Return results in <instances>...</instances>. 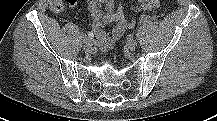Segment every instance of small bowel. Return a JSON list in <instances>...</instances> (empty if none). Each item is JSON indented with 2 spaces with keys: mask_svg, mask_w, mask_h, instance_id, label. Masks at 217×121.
<instances>
[{
  "mask_svg": "<svg viewBox=\"0 0 217 121\" xmlns=\"http://www.w3.org/2000/svg\"><path fill=\"white\" fill-rule=\"evenodd\" d=\"M133 7L136 12L152 11L158 8L160 0H136ZM88 9L93 19V31L102 50H108L118 41L124 32L135 26V21L125 16L122 5H116L115 0H88ZM115 23L107 33L105 26Z\"/></svg>",
  "mask_w": 217,
  "mask_h": 121,
  "instance_id": "obj_1",
  "label": "small bowel"
}]
</instances>
